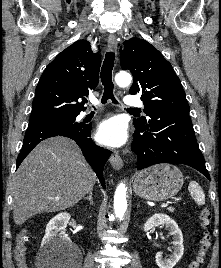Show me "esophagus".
I'll list each match as a JSON object with an SVG mask.
<instances>
[{"mask_svg":"<svg viewBox=\"0 0 221 268\" xmlns=\"http://www.w3.org/2000/svg\"><path fill=\"white\" fill-rule=\"evenodd\" d=\"M108 45L110 47V49H112L113 51L116 52L117 50V39L115 37V35H109L108 37ZM110 163L112 165V167L116 170H119L122 168L123 166V160L120 157V155L118 154V152H114L111 154L110 156Z\"/></svg>","mask_w":221,"mask_h":268,"instance_id":"34e87169","label":"esophagus"}]
</instances>
